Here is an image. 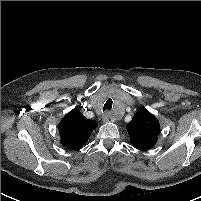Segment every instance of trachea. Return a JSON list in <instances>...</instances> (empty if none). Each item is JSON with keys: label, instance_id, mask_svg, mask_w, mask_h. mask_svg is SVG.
Segmentation results:
<instances>
[{"label": "trachea", "instance_id": "obj_1", "mask_svg": "<svg viewBox=\"0 0 201 201\" xmlns=\"http://www.w3.org/2000/svg\"><path fill=\"white\" fill-rule=\"evenodd\" d=\"M113 101L111 98L107 99L106 103L103 106V112L106 110H110L112 108Z\"/></svg>", "mask_w": 201, "mask_h": 201}]
</instances>
